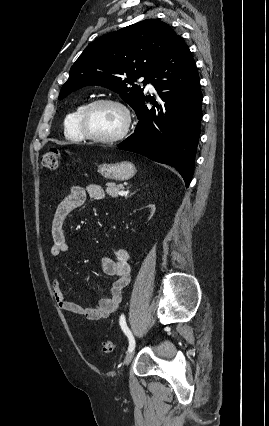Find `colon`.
<instances>
[{"mask_svg":"<svg viewBox=\"0 0 269 426\" xmlns=\"http://www.w3.org/2000/svg\"><path fill=\"white\" fill-rule=\"evenodd\" d=\"M61 152L56 148L46 150L40 159L41 167L45 170L53 171L58 167ZM114 349V342L107 340L102 345V352L105 354L111 353Z\"/></svg>","mask_w":269,"mask_h":426,"instance_id":"obj_1","label":"colon"}]
</instances>
